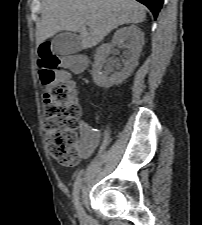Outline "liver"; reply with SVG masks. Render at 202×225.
Returning <instances> with one entry per match:
<instances>
[{
    "label": "liver",
    "instance_id": "6515ba94",
    "mask_svg": "<svg viewBox=\"0 0 202 225\" xmlns=\"http://www.w3.org/2000/svg\"><path fill=\"white\" fill-rule=\"evenodd\" d=\"M42 7L37 45L65 30L79 32L81 47L88 49L118 26L146 18L144 6L135 0H43Z\"/></svg>",
    "mask_w": 202,
    "mask_h": 225
}]
</instances>
